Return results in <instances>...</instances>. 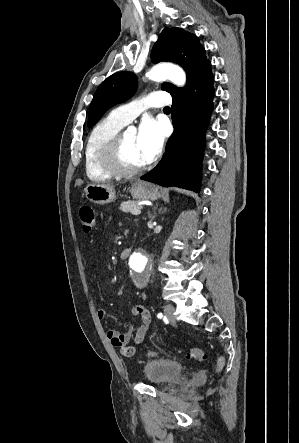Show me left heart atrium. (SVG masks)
<instances>
[{
  "label": "left heart atrium",
  "instance_id": "obj_1",
  "mask_svg": "<svg viewBox=\"0 0 299 443\" xmlns=\"http://www.w3.org/2000/svg\"><path fill=\"white\" fill-rule=\"evenodd\" d=\"M163 138V126L158 120L147 117L142 121L137 134V142L145 164L153 161L158 155Z\"/></svg>",
  "mask_w": 299,
  "mask_h": 443
}]
</instances>
